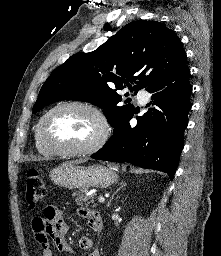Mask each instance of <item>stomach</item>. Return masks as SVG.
<instances>
[{
    "label": "stomach",
    "mask_w": 221,
    "mask_h": 256,
    "mask_svg": "<svg viewBox=\"0 0 221 256\" xmlns=\"http://www.w3.org/2000/svg\"><path fill=\"white\" fill-rule=\"evenodd\" d=\"M54 184L70 189H88L89 187L107 188L118 179L116 172L103 165L89 167L64 163L50 172Z\"/></svg>",
    "instance_id": "0dacf381"
}]
</instances>
